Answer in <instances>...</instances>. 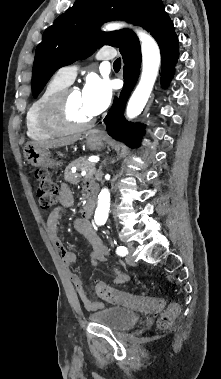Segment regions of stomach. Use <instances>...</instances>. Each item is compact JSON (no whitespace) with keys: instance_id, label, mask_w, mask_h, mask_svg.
Wrapping results in <instances>:
<instances>
[{"instance_id":"1","label":"stomach","mask_w":221,"mask_h":379,"mask_svg":"<svg viewBox=\"0 0 221 379\" xmlns=\"http://www.w3.org/2000/svg\"><path fill=\"white\" fill-rule=\"evenodd\" d=\"M86 144L91 150H98L103 147L104 139L98 134L89 133L86 135ZM24 157L29 164L35 167L55 168L62 165L61 161H57L52 157L48 149L31 144H27L24 147Z\"/></svg>"}]
</instances>
